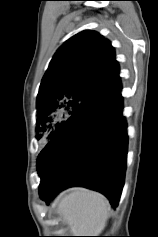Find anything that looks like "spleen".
Wrapping results in <instances>:
<instances>
[{"label": "spleen", "mask_w": 158, "mask_h": 237, "mask_svg": "<svg viewBox=\"0 0 158 237\" xmlns=\"http://www.w3.org/2000/svg\"><path fill=\"white\" fill-rule=\"evenodd\" d=\"M109 212V201L102 194L84 188L72 189L58 203V213L73 236H98L106 226Z\"/></svg>", "instance_id": "3e777b00"}]
</instances>
